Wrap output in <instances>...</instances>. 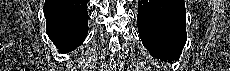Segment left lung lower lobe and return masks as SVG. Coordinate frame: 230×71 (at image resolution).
<instances>
[{"label":"left lung lower lobe","instance_id":"1","mask_svg":"<svg viewBox=\"0 0 230 71\" xmlns=\"http://www.w3.org/2000/svg\"><path fill=\"white\" fill-rule=\"evenodd\" d=\"M184 0L138 2V31L150 54L162 61L180 57L187 40Z\"/></svg>","mask_w":230,"mask_h":71}]
</instances>
